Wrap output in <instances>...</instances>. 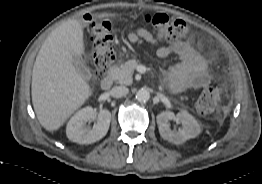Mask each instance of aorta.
Here are the masks:
<instances>
[{
    "instance_id": "762f6f07",
    "label": "aorta",
    "mask_w": 262,
    "mask_h": 184,
    "mask_svg": "<svg viewBox=\"0 0 262 184\" xmlns=\"http://www.w3.org/2000/svg\"><path fill=\"white\" fill-rule=\"evenodd\" d=\"M150 98V92L147 89H140L136 93V99L139 102H147Z\"/></svg>"
}]
</instances>
